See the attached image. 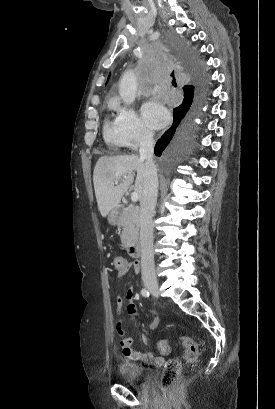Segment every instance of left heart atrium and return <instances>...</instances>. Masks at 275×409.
I'll use <instances>...</instances> for the list:
<instances>
[{
  "label": "left heart atrium",
  "instance_id": "39dd6f15",
  "mask_svg": "<svg viewBox=\"0 0 275 409\" xmlns=\"http://www.w3.org/2000/svg\"><path fill=\"white\" fill-rule=\"evenodd\" d=\"M146 119L155 127L161 128L168 124L170 115L167 109L158 102H148L143 107Z\"/></svg>",
  "mask_w": 275,
  "mask_h": 409
}]
</instances>
